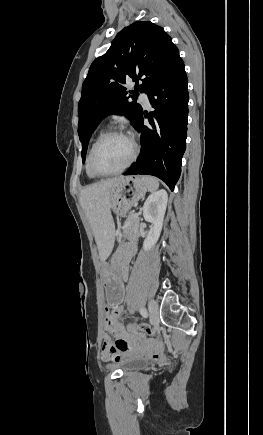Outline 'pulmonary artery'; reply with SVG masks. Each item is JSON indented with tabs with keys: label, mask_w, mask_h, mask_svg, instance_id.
<instances>
[{
	"label": "pulmonary artery",
	"mask_w": 263,
	"mask_h": 435,
	"mask_svg": "<svg viewBox=\"0 0 263 435\" xmlns=\"http://www.w3.org/2000/svg\"><path fill=\"white\" fill-rule=\"evenodd\" d=\"M140 101L142 102V104H143L146 108H149V107H150V101H149V98H148V96H147L146 93H142V94L140 95Z\"/></svg>",
	"instance_id": "obj_1"
}]
</instances>
